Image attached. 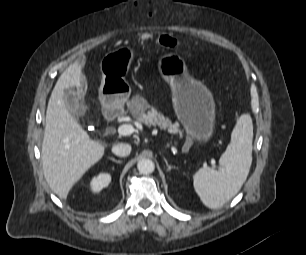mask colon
I'll list each match as a JSON object with an SVG mask.
<instances>
[{
    "label": "colon",
    "mask_w": 306,
    "mask_h": 255,
    "mask_svg": "<svg viewBox=\"0 0 306 255\" xmlns=\"http://www.w3.org/2000/svg\"><path fill=\"white\" fill-rule=\"evenodd\" d=\"M153 14V11L150 12ZM151 38V35L149 33H146L142 36V40H149ZM159 42L168 48H176L178 46V43L175 39L167 36V35H161L159 37Z\"/></svg>",
    "instance_id": "1"
}]
</instances>
